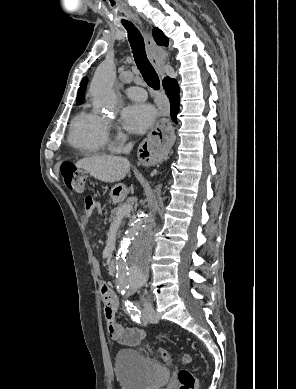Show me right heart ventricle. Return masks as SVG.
I'll return each mask as SVG.
<instances>
[{"mask_svg": "<svg viewBox=\"0 0 296 389\" xmlns=\"http://www.w3.org/2000/svg\"><path fill=\"white\" fill-rule=\"evenodd\" d=\"M68 142L85 154L105 153L109 149L106 120L96 113L81 111L72 121Z\"/></svg>", "mask_w": 296, "mask_h": 389, "instance_id": "right-heart-ventricle-1", "label": "right heart ventricle"}]
</instances>
